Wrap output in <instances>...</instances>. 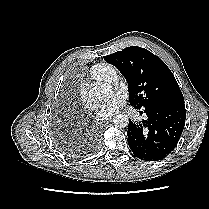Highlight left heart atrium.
Instances as JSON below:
<instances>
[{"label":"left heart atrium","instance_id":"obj_1","mask_svg":"<svg viewBox=\"0 0 209 209\" xmlns=\"http://www.w3.org/2000/svg\"><path fill=\"white\" fill-rule=\"evenodd\" d=\"M125 101L126 96L123 93H115L111 98L98 106L96 112L98 119L105 120L110 118L123 107Z\"/></svg>","mask_w":209,"mask_h":209}]
</instances>
